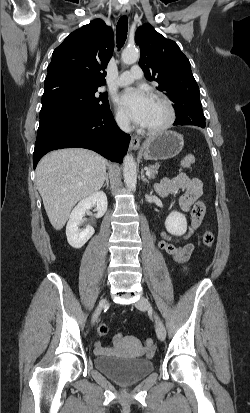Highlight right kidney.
<instances>
[{"mask_svg":"<svg viewBox=\"0 0 250 413\" xmlns=\"http://www.w3.org/2000/svg\"><path fill=\"white\" fill-rule=\"evenodd\" d=\"M96 207V218L102 217L107 211V196L104 192H95L82 199L72 210L66 226V236L68 243L76 248H81L94 234V228L90 225L80 230L79 226L86 211Z\"/></svg>","mask_w":250,"mask_h":413,"instance_id":"obj_1","label":"right kidney"}]
</instances>
